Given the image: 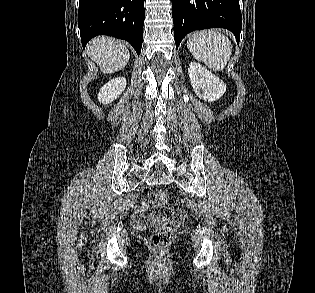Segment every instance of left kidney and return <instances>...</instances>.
I'll return each mask as SVG.
<instances>
[{"label": "left kidney", "mask_w": 315, "mask_h": 293, "mask_svg": "<svg viewBox=\"0 0 315 293\" xmlns=\"http://www.w3.org/2000/svg\"><path fill=\"white\" fill-rule=\"evenodd\" d=\"M188 74L195 94L204 101L214 102L226 91L225 83L197 62H191Z\"/></svg>", "instance_id": "left-kidney-1"}]
</instances>
